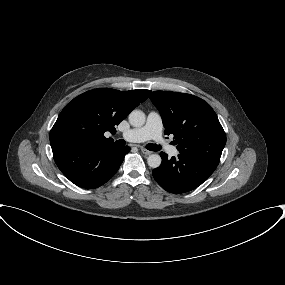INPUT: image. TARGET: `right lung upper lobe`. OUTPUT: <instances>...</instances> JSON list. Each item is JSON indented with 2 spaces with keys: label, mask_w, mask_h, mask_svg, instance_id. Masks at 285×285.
<instances>
[{
  "label": "right lung upper lobe",
  "mask_w": 285,
  "mask_h": 285,
  "mask_svg": "<svg viewBox=\"0 0 285 285\" xmlns=\"http://www.w3.org/2000/svg\"><path fill=\"white\" fill-rule=\"evenodd\" d=\"M151 91H120L100 88L87 91L69 102L50 131V144L80 143L88 146L114 145L104 136L118 125Z\"/></svg>",
  "instance_id": "right-lung-upper-lobe-1"
}]
</instances>
